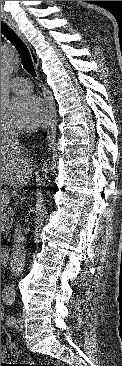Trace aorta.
I'll use <instances>...</instances> for the list:
<instances>
[{"instance_id":"obj_1","label":"aorta","mask_w":122,"mask_h":366,"mask_svg":"<svg viewBox=\"0 0 122 366\" xmlns=\"http://www.w3.org/2000/svg\"><path fill=\"white\" fill-rule=\"evenodd\" d=\"M19 64L18 54L8 45L1 46V112L4 113L10 101L9 82Z\"/></svg>"}]
</instances>
